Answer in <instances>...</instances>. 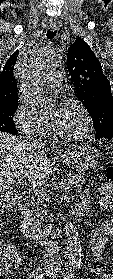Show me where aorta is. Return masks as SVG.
<instances>
[{
	"label": "aorta",
	"instance_id": "1",
	"mask_svg": "<svg viewBox=\"0 0 113 279\" xmlns=\"http://www.w3.org/2000/svg\"><path fill=\"white\" fill-rule=\"evenodd\" d=\"M61 63L60 56L52 53L44 57L42 65L47 71H50ZM49 106V100L47 97H42L38 100V111L44 113ZM65 237L67 242L68 261L66 267L74 269L81 265L82 247L79 233L71 221H67L65 224Z\"/></svg>",
	"mask_w": 113,
	"mask_h": 279
}]
</instances>
